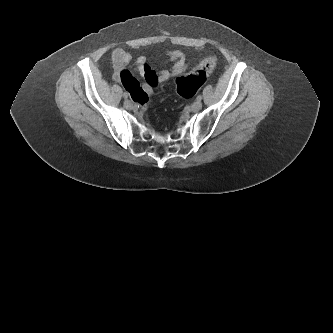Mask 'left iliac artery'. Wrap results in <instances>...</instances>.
<instances>
[{"label": "left iliac artery", "instance_id": "1", "mask_svg": "<svg viewBox=\"0 0 333 333\" xmlns=\"http://www.w3.org/2000/svg\"><path fill=\"white\" fill-rule=\"evenodd\" d=\"M196 99L199 100V101H201L202 96H201V95H198Z\"/></svg>", "mask_w": 333, "mask_h": 333}]
</instances>
